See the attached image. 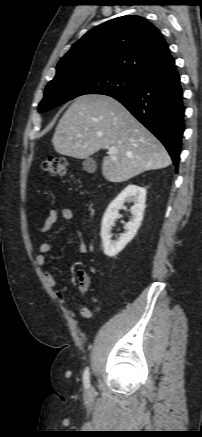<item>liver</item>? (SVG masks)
Segmentation results:
<instances>
[{"label": "liver", "instance_id": "1", "mask_svg": "<svg viewBox=\"0 0 202 437\" xmlns=\"http://www.w3.org/2000/svg\"><path fill=\"white\" fill-rule=\"evenodd\" d=\"M52 143L59 154L78 159L115 148V155L105 156L102 165L103 176L113 183L171 164L161 142L120 102L106 95L76 98L60 119Z\"/></svg>", "mask_w": 202, "mask_h": 437}]
</instances>
